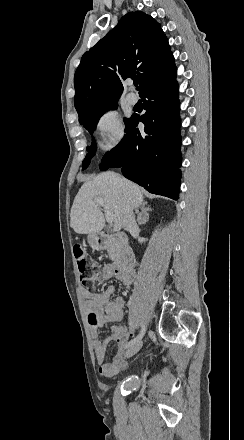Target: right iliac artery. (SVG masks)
I'll return each mask as SVG.
<instances>
[{
	"label": "right iliac artery",
	"mask_w": 244,
	"mask_h": 440,
	"mask_svg": "<svg viewBox=\"0 0 244 440\" xmlns=\"http://www.w3.org/2000/svg\"><path fill=\"white\" fill-rule=\"evenodd\" d=\"M144 334H145V326L142 325V329H141L140 333L134 339H132L128 344H126L125 348H128V347L134 345L135 343H137L139 340H141L143 338Z\"/></svg>",
	"instance_id": "82829eb1"
}]
</instances>
